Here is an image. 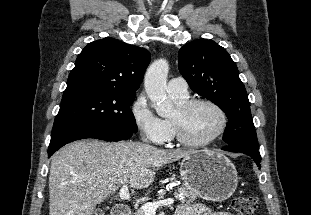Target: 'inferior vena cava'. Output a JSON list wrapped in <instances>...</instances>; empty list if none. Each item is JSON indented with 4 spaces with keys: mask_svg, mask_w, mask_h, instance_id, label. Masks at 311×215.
<instances>
[{
    "mask_svg": "<svg viewBox=\"0 0 311 215\" xmlns=\"http://www.w3.org/2000/svg\"><path fill=\"white\" fill-rule=\"evenodd\" d=\"M142 140H143L144 142H146V141H147V139H145V138H142Z\"/></svg>",
    "mask_w": 311,
    "mask_h": 215,
    "instance_id": "obj_1",
    "label": "inferior vena cava"
}]
</instances>
